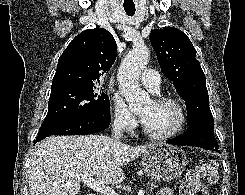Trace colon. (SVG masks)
<instances>
[{"label":"colon","instance_id":"obj_1","mask_svg":"<svg viewBox=\"0 0 245 195\" xmlns=\"http://www.w3.org/2000/svg\"><path fill=\"white\" fill-rule=\"evenodd\" d=\"M218 164L215 160H207L196 169L190 171L181 186L182 195H206L204 182L214 184L218 180Z\"/></svg>","mask_w":245,"mask_h":195}]
</instances>
